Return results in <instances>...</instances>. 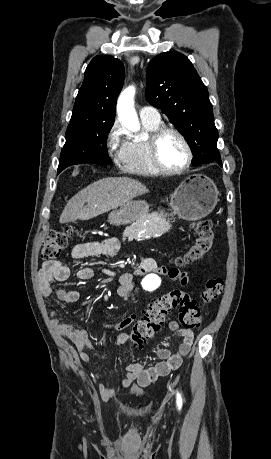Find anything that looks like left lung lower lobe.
<instances>
[{"label":"left lung lower lobe","instance_id":"1","mask_svg":"<svg viewBox=\"0 0 271 459\" xmlns=\"http://www.w3.org/2000/svg\"><path fill=\"white\" fill-rule=\"evenodd\" d=\"M215 162H217L220 166H222V161L221 160H217Z\"/></svg>","mask_w":271,"mask_h":459}]
</instances>
